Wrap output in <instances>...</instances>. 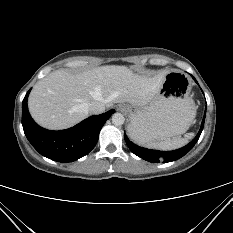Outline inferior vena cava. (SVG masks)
Segmentation results:
<instances>
[{"mask_svg":"<svg viewBox=\"0 0 233 233\" xmlns=\"http://www.w3.org/2000/svg\"><path fill=\"white\" fill-rule=\"evenodd\" d=\"M106 106L101 102H92L89 105V113L90 114H101L105 111Z\"/></svg>","mask_w":233,"mask_h":233,"instance_id":"602c4592","label":"inferior vena cava"}]
</instances>
